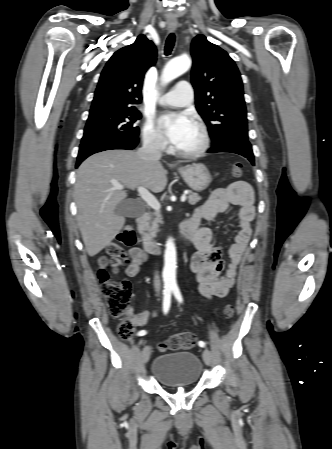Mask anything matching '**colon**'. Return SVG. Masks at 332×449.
Masks as SVG:
<instances>
[{
  "instance_id": "colon-1",
  "label": "colon",
  "mask_w": 332,
  "mask_h": 449,
  "mask_svg": "<svg viewBox=\"0 0 332 449\" xmlns=\"http://www.w3.org/2000/svg\"><path fill=\"white\" fill-rule=\"evenodd\" d=\"M231 175L240 178L243 175V165L236 162L231 167ZM120 241L126 245L136 242L135 231L131 227H125L120 233ZM126 262L122 247L112 244L107 250V255L99 259L98 278L101 283L102 293L105 297L108 310L113 318L119 319L118 333L122 339H129L134 331L133 322L127 317V310L132 297V287L128 280H112L109 276L108 266L116 270ZM223 316L231 319L234 316V307L228 305L223 310ZM195 344V336L190 332L177 333L159 344L161 351L189 349Z\"/></svg>"
}]
</instances>
